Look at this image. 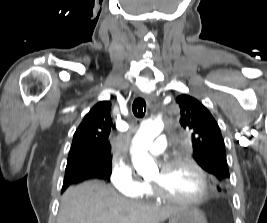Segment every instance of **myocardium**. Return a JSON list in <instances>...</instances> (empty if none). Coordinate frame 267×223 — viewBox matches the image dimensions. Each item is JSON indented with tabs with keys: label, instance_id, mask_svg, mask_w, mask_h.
<instances>
[{
	"label": "myocardium",
	"instance_id": "1",
	"mask_svg": "<svg viewBox=\"0 0 267 223\" xmlns=\"http://www.w3.org/2000/svg\"><path fill=\"white\" fill-rule=\"evenodd\" d=\"M179 165H188L192 167L198 173V175L201 178L202 185H203L201 194L192 199H181V198L174 197L170 194H167L161 189V187L158 184L150 182L149 187H150V190L153 196L156 199L161 200V201H165V202H169L173 204H179V205H186V206H194V205H198L204 202L209 195L208 176H207L206 171L196 161H194L192 158H189V157H176V158H172V159H168L164 161L160 165V168L163 171H167Z\"/></svg>",
	"mask_w": 267,
	"mask_h": 223
}]
</instances>
